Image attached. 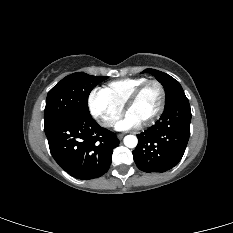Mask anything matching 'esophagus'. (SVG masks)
I'll return each mask as SVG.
<instances>
[{"instance_id": "obj_1", "label": "esophagus", "mask_w": 233, "mask_h": 233, "mask_svg": "<svg viewBox=\"0 0 233 233\" xmlns=\"http://www.w3.org/2000/svg\"><path fill=\"white\" fill-rule=\"evenodd\" d=\"M117 137H118V139L121 140L124 137V134H118Z\"/></svg>"}]
</instances>
